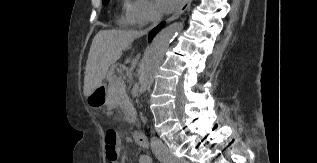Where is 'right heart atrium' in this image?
I'll return each instance as SVG.
<instances>
[{
  "label": "right heart atrium",
  "instance_id": "1",
  "mask_svg": "<svg viewBox=\"0 0 317 163\" xmlns=\"http://www.w3.org/2000/svg\"><path fill=\"white\" fill-rule=\"evenodd\" d=\"M124 15L126 22L133 26H144L158 18V12L150 0H127Z\"/></svg>",
  "mask_w": 317,
  "mask_h": 163
}]
</instances>
